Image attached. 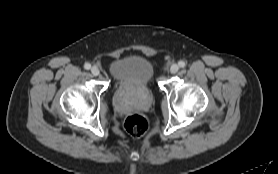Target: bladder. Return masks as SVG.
I'll list each match as a JSON object with an SVG mask.
<instances>
[{
  "label": "bladder",
  "mask_w": 278,
  "mask_h": 174,
  "mask_svg": "<svg viewBox=\"0 0 278 174\" xmlns=\"http://www.w3.org/2000/svg\"><path fill=\"white\" fill-rule=\"evenodd\" d=\"M109 71L118 87L126 89H146L153 80L151 62L137 54H128L110 63Z\"/></svg>",
  "instance_id": "obj_1"
}]
</instances>
